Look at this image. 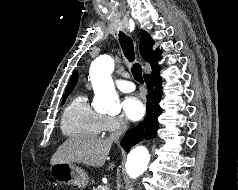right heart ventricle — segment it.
Here are the masks:
<instances>
[{
    "label": "right heart ventricle",
    "mask_w": 238,
    "mask_h": 190,
    "mask_svg": "<svg viewBox=\"0 0 238 190\" xmlns=\"http://www.w3.org/2000/svg\"><path fill=\"white\" fill-rule=\"evenodd\" d=\"M104 115L94 110L85 94L75 95L63 112L61 129L67 136L96 137L103 132Z\"/></svg>",
    "instance_id": "1"
}]
</instances>
